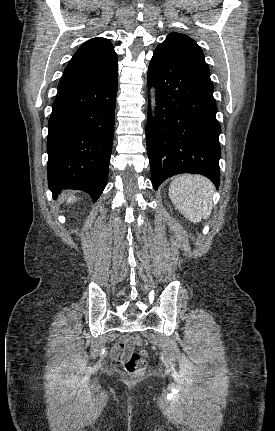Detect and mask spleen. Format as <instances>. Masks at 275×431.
I'll return each instance as SVG.
<instances>
[{
  "instance_id": "3e777b00",
  "label": "spleen",
  "mask_w": 275,
  "mask_h": 431,
  "mask_svg": "<svg viewBox=\"0 0 275 431\" xmlns=\"http://www.w3.org/2000/svg\"><path fill=\"white\" fill-rule=\"evenodd\" d=\"M214 185L201 175L183 174L169 186V197L179 212L193 223L207 219L213 208Z\"/></svg>"
}]
</instances>
